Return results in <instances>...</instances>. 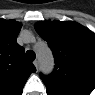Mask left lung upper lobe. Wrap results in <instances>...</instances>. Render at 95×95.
Listing matches in <instances>:
<instances>
[{
  "instance_id": "obj_1",
  "label": "left lung upper lobe",
  "mask_w": 95,
  "mask_h": 95,
  "mask_svg": "<svg viewBox=\"0 0 95 95\" xmlns=\"http://www.w3.org/2000/svg\"><path fill=\"white\" fill-rule=\"evenodd\" d=\"M55 58L53 73L41 78L49 95H88L95 88V34L76 22L36 24Z\"/></svg>"
}]
</instances>
